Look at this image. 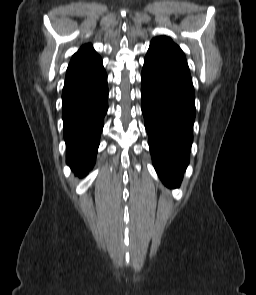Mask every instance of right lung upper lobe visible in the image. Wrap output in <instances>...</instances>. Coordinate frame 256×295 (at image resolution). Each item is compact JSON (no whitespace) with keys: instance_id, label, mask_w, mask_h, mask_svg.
Returning <instances> with one entry per match:
<instances>
[{"instance_id":"right-lung-upper-lobe-1","label":"right lung upper lobe","mask_w":256,"mask_h":295,"mask_svg":"<svg viewBox=\"0 0 256 295\" xmlns=\"http://www.w3.org/2000/svg\"><path fill=\"white\" fill-rule=\"evenodd\" d=\"M99 55L95 52L91 44L82 46L71 58L69 66L77 64L87 59L98 57Z\"/></svg>"}]
</instances>
